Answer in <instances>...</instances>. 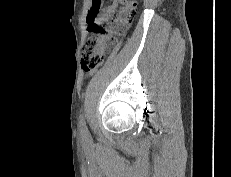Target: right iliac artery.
<instances>
[{
	"mask_svg": "<svg viewBox=\"0 0 231 177\" xmlns=\"http://www.w3.org/2000/svg\"><path fill=\"white\" fill-rule=\"evenodd\" d=\"M80 125H81L82 132L84 134H86L87 133V128H86V124H85V121H84V118H83L82 115H81Z\"/></svg>",
	"mask_w": 231,
	"mask_h": 177,
	"instance_id": "82829eb1",
	"label": "right iliac artery"
}]
</instances>
